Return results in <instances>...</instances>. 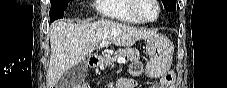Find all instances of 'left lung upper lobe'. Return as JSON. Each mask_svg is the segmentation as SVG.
Instances as JSON below:
<instances>
[{
    "label": "left lung upper lobe",
    "mask_w": 227,
    "mask_h": 88,
    "mask_svg": "<svg viewBox=\"0 0 227 88\" xmlns=\"http://www.w3.org/2000/svg\"><path fill=\"white\" fill-rule=\"evenodd\" d=\"M162 3L167 12L176 10V0H162Z\"/></svg>",
    "instance_id": "obj_1"
}]
</instances>
